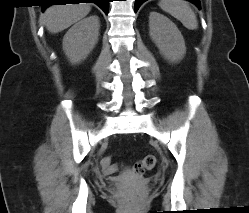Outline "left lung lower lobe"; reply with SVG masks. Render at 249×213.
<instances>
[{
  "label": "left lung lower lobe",
  "instance_id": "1",
  "mask_svg": "<svg viewBox=\"0 0 249 213\" xmlns=\"http://www.w3.org/2000/svg\"><path fill=\"white\" fill-rule=\"evenodd\" d=\"M146 0H136L135 1V12H137L138 8L140 7V5L145 2ZM192 3H194L198 8H200V2L199 0H188Z\"/></svg>",
  "mask_w": 249,
  "mask_h": 213
}]
</instances>
